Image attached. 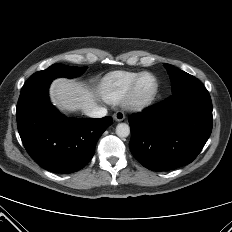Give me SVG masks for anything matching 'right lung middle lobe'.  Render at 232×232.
Here are the masks:
<instances>
[{"label": "right lung middle lobe", "mask_w": 232, "mask_h": 232, "mask_svg": "<svg viewBox=\"0 0 232 232\" xmlns=\"http://www.w3.org/2000/svg\"><path fill=\"white\" fill-rule=\"evenodd\" d=\"M86 67H70L63 64H54L43 71L34 73L24 84L21 91H25L35 85L51 82L54 78L64 76L72 78L80 75Z\"/></svg>", "instance_id": "1"}]
</instances>
